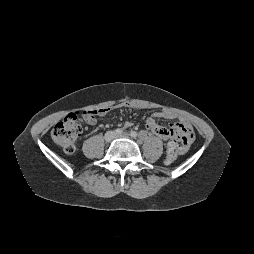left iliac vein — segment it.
I'll use <instances>...</instances> for the list:
<instances>
[{
    "label": "left iliac vein",
    "instance_id": "1",
    "mask_svg": "<svg viewBox=\"0 0 254 254\" xmlns=\"http://www.w3.org/2000/svg\"><path fill=\"white\" fill-rule=\"evenodd\" d=\"M117 137L129 138V134L124 133V134H122V135H117Z\"/></svg>",
    "mask_w": 254,
    "mask_h": 254
}]
</instances>
